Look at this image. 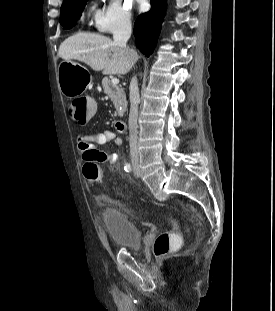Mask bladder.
Segmentation results:
<instances>
[{"mask_svg":"<svg viewBox=\"0 0 275 311\" xmlns=\"http://www.w3.org/2000/svg\"><path fill=\"white\" fill-rule=\"evenodd\" d=\"M101 218L115 247L137 249L142 246L143 234L141 229L124 212L103 208Z\"/></svg>","mask_w":275,"mask_h":311,"instance_id":"bladder-1","label":"bladder"}]
</instances>
